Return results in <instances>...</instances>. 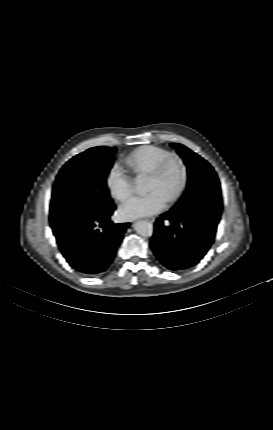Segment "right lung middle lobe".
Masks as SVG:
<instances>
[{"instance_id": "1", "label": "right lung middle lobe", "mask_w": 273, "mask_h": 430, "mask_svg": "<svg viewBox=\"0 0 273 430\" xmlns=\"http://www.w3.org/2000/svg\"><path fill=\"white\" fill-rule=\"evenodd\" d=\"M115 151V147L90 148L63 166L56 178L50 205L53 231L114 208L106 177Z\"/></svg>"}]
</instances>
